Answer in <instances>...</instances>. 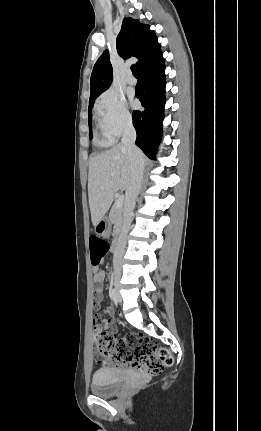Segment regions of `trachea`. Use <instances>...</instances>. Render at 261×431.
Listing matches in <instances>:
<instances>
[{"label": "trachea", "instance_id": "obj_1", "mask_svg": "<svg viewBox=\"0 0 261 431\" xmlns=\"http://www.w3.org/2000/svg\"><path fill=\"white\" fill-rule=\"evenodd\" d=\"M131 71H132L134 76H139L138 68L136 65L131 66Z\"/></svg>", "mask_w": 261, "mask_h": 431}]
</instances>
